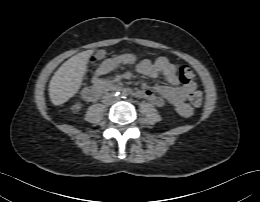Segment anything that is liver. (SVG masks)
I'll return each mask as SVG.
<instances>
[{
	"label": "liver",
	"instance_id": "liver-1",
	"mask_svg": "<svg viewBox=\"0 0 260 202\" xmlns=\"http://www.w3.org/2000/svg\"><path fill=\"white\" fill-rule=\"evenodd\" d=\"M93 50L78 53L64 62L49 83V97L54 105H62L79 91Z\"/></svg>",
	"mask_w": 260,
	"mask_h": 202
}]
</instances>
